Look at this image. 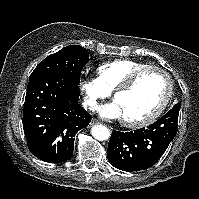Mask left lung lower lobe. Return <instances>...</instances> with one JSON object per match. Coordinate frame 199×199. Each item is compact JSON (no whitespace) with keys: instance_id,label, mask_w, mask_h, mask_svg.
I'll list each match as a JSON object with an SVG mask.
<instances>
[{"instance_id":"1","label":"left lung lower lobe","mask_w":199,"mask_h":199,"mask_svg":"<svg viewBox=\"0 0 199 199\" xmlns=\"http://www.w3.org/2000/svg\"><path fill=\"white\" fill-rule=\"evenodd\" d=\"M179 110L173 107L146 128L130 132L114 130L107 149L110 164L127 172L152 167L177 134Z\"/></svg>"}]
</instances>
